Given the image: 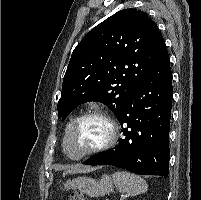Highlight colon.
<instances>
[{"label": "colon", "mask_w": 201, "mask_h": 200, "mask_svg": "<svg viewBox=\"0 0 201 200\" xmlns=\"http://www.w3.org/2000/svg\"><path fill=\"white\" fill-rule=\"evenodd\" d=\"M70 200H85L84 196L82 193L80 192H74L72 195H71V198Z\"/></svg>", "instance_id": "obj_1"}]
</instances>
